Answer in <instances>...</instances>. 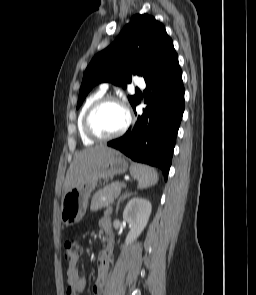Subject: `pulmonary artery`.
Returning <instances> with one entry per match:
<instances>
[{
  "label": "pulmonary artery",
  "instance_id": "pulmonary-artery-1",
  "mask_svg": "<svg viewBox=\"0 0 256 295\" xmlns=\"http://www.w3.org/2000/svg\"><path fill=\"white\" fill-rule=\"evenodd\" d=\"M134 84L143 88L145 86V82H144V79L141 78V77H136L134 79ZM108 89V84L107 83H103L101 84L100 86V90H102L103 92H105L106 90Z\"/></svg>",
  "mask_w": 256,
  "mask_h": 295
}]
</instances>
